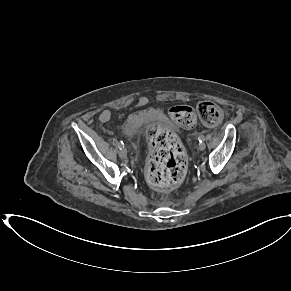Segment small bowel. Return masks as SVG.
<instances>
[{"label":"small bowel","instance_id":"c3829d8e","mask_svg":"<svg viewBox=\"0 0 291 291\" xmlns=\"http://www.w3.org/2000/svg\"><path fill=\"white\" fill-rule=\"evenodd\" d=\"M111 117H112V115H111V113L109 111H103L99 115V120L101 122H106V121L110 120Z\"/></svg>","mask_w":291,"mask_h":291}]
</instances>
